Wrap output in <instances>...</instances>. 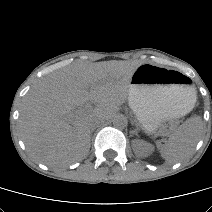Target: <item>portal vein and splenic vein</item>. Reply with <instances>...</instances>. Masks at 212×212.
<instances>
[{
    "label": "portal vein and splenic vein",
    "mask_w": 212,
    "mask_h": 212,
    "mask_svg": "<svg viewBox=\"0 0 212 212\" xmlns=\"http://www.w3.org/2000/svg\"><path fill=\"white\" fill-rule=\"evenodd\" d=\"M81 111L80 110H78L76 113H80Z\"/></svg>",
    "instance_id": "portal-vein-and-splenic-vein-1"
}]
</instances>
